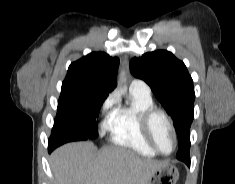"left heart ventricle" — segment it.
I'll return each instance as SVG.
<instances>
[{
	"label": "left heart ventricle",
	"mask_w": 235,
	"mask_h": 184,
	"mask_svg": "<svg viewBox=\"0 0 235 184\" xmlns=\"http://www.w3.org/2000/svg\"><path fill=\"white\" fill-rule=\"evenodd\" d=\"M154 139L161 152L169 154L175 147L174 135L160 116L156 117L153 124Z\"/></svg>",
	"instance_id": "obj_1"
}]
</instances>
